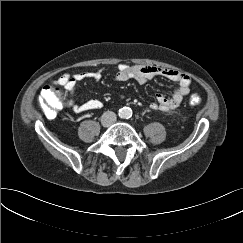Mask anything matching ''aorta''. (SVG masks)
Returning a JSON list of instances; mask_svg holds the SVG:
<instances>
[{
    "mask_svg": "<svg viewBox=\"0 0 243 243\" xmlns=\"http://www.w3.org/2000/svg\"><path fill=\"white\" fill-rule=\"evenodd\" d=\"M119 116L121 118H130L132 116V110L129 107H123L119 110Z\"/></svg>",
    "mask_w": 243,
    "mask_h": 243,
    "instance_id": "1",
    "label": "aorta"
}]
</instances>
